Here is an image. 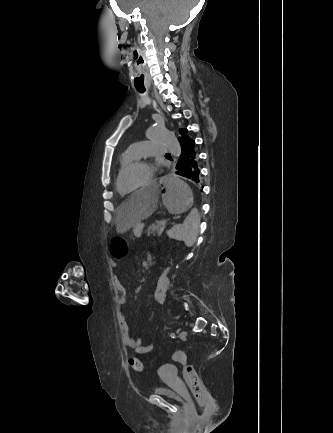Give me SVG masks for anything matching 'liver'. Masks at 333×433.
Wrapping results in <instances>:
<instances>
[{"label":"liver","mask_w":333,"mask_h":433,"mask_svg":"<svg viewBox=\"0 0 333 433\" xmlns=\"http://www.w3.org/2000/svg\"><path fill=\"white\" fill-rule=\"evenodd\" d=\"M143 192H131L128 202L118 206L115 218L116 231L123 234L142 220L151 216L157 209L159 183H145Z\"/></svg>","instance_id":"1"}]
</instances>
